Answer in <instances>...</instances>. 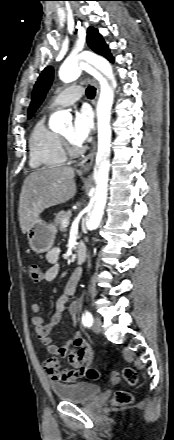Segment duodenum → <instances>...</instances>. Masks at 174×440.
<instances>
[{
	"label": "duodenum",
	"mask_w": 174,
	"mask_h": 440,
	"mask_svg": "<svg viewBox=\"0 0 174 440\" xmlns=\"http://www.w3.org/2000/svg\"><path fill=\"white\" fill-rule=\"evenodd\" d=\"M87 257V247L83 242H78L76 246V260L78 263L85 261Z\"/></svg>",
	"instance_id": "obj_1"
}]
</instances>
